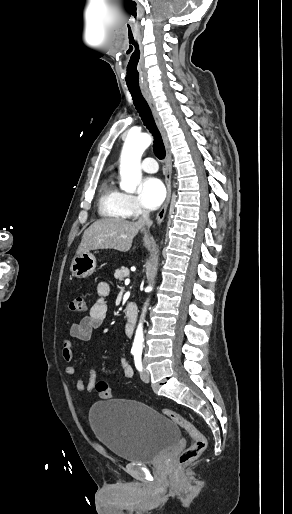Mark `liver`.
<instances>
[{"mask_svg": "<svg viewBox=\"0 0 292 514\" xmlns=\"http://www.w3.org/2000/svg\"><path fill=\"white\" fill-rule=\"evenodd\" d=\"M142 228L143 224L140 222H128V220H119V218H102L85 230L77 254H83L89 250H107V248L128 252L134 236ZM143 240L146 248H150L151 244H154V240L148 236H144Z\"/></svg>", "mask_w": 292, "mask_h": 514, "instance_id": "6515ba94", "label": "liver"}]
</instances>
